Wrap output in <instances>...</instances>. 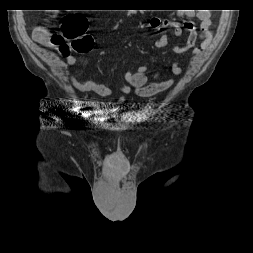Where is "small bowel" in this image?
<instances>
[{
  "mask_svg": "<svg viewBox=\"0 0 253 253\" xmlns=\"http://www.w3.org/2000/svg\"><path fill=\"white\" fill-rule=\"evenodd\" d=\"M199 30H196L192 21L185 19L183 22L172 21L168 19L161 20L159 18H152L149 25L158 30L155 40L156 48H165L168 45L167 30H172L175 42L173 44V51L177 54H185L191 52L198 56L201 53L198 48V43H201L202 49H207L212 40L211 31V16L209 11H198L196 13ZM183 32H188V38L185 44L178 43V39ZM33 38L36 43L42 46H51L49 32L45 27H38L33 32ZM76 59L72 55L65 58L66 66H73ZM171 72L174 75L182 74L183 70L180 66V59L174 60L171 65ZM161 73L156 72L153 75H148V66L141 65L135 71H128L123 77V84H113L108 86L106 84L97 83L93 80L79 81L74 76H70L73 85L81 92H94L101 97H109L112 94V89H115L123 94L121 101L125 100L126 95L134 92L139 97H150L169 89L174 83L173 78L158 81Z\"/></svg>",
  "mask_w": 253,
  "mask_h": 253,
  "instance_id": "c3829d8e",
  "label": "small bowel"
}]
</instances>
